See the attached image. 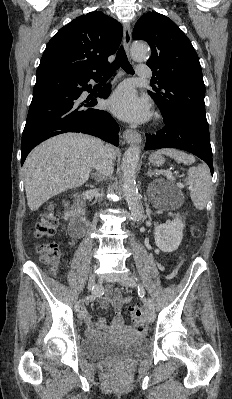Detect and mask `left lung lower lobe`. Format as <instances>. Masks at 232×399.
Masks as SVG:
<instances>
[{
  "instance_id": "0a47b994",
  "label": "left lung lower lobe",
  "mask_w": 232,
  "mask_h": 399,
  "mask_svg": "<svg viewBox=\"0 0 232 399\" xmlns=\"http://www.w3.org/2000/svg\"><path fill=\"white\" fill-rule=\"evenodd\" d=\"M163 118L165 126L161 130L156 134H146L144 149L177 148L188 151L204 160L213 174L209 134L180 118Z\"/></svg>"
}]
</instances>
